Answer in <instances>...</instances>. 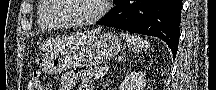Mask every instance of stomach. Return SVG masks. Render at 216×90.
Returning a JSON list of instances; mask_svg holds the SVG:
<instances>
[{
    "instance_id": "obj_1",
    "label": "stomach",
    "mask_w": 216,
    "mask_h": 90,
    "mask_svg": "<svg viewBox=\"0 0 216 90\" xmlns=\"http://www.w3.org/2000/svg\"><path fill=\"white\" fill-rule=\"evenodd\" d=\"M121 47V39L115 34L93 35L74 54L47 57L42 63V70L47 74L54 75L73 66L99 65L117 55Z\"/></svg>"
}]
</instances>
